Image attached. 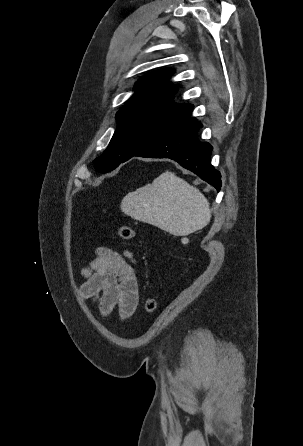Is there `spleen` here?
I'll return each instance as SVG.
<instances>
[{"mask_svg":"<svg viewBox=\"0 0 303 446\" xmlns=\"http://www.w3.org/2000/svg\"><path fill=\"white\" fill-rule=\"evenodd\" d=\"M121 210L174 236L196 232L211 219L209 202L200 190L169 171L152 184L128 193L121 202Z\"/></svg>","mask_w":303,"mask_h":446,"instance_id":"3e777b00","label":"spleen"}]
</instances>
